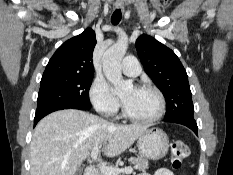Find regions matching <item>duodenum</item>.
Here are the masks:
<instances>
[{
  "label": "duodenum",
  "instance_id": "1",
  "mask_svg": "<svg viewBox=\"0 0 233 175\" xmlns=\"http://www.w3.org/2000/svg\"><path fill=\"white\" fill-rule=\"evenodd\" d=\"M84 175H97V170L94 166H88L85 169Z\"/></svg>",
  "mask_w": 233,
  "mask_h": 175
}]
</instances>
